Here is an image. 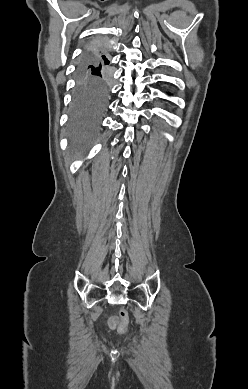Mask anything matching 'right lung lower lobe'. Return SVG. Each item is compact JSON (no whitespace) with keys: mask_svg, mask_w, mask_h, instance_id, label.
I'll return each instance as SVG.
<instances>
[{"mask_svg":"<svg viewBox=\"0 0 248 389\" xmlns=\"http://www.w3.org/2000/svg\"><path fill=\"white\" fill-rule=\"evenodd\" d=\"M90 54H92L91 48H89V50L86 52L85 55H89L90 56Z\"/></svg>","mask_w":248,"mask_h":389,"instance_id":"obj_1","label":"right lung lower lobe"}]
</instances>
